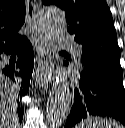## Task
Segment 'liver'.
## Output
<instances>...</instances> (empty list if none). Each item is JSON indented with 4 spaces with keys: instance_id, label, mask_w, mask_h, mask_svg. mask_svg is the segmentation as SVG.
<instances>
[{
    "instance_id": "liver-1",
    "label": "liver",
    "mask_w": 125,
    "mask_h": 128,
    "mask_svg": "<svg viewBox=\"0 0 125 128\" xmlns=\"http://www.w3.org/2000/svg\"><path fill=\"white\" fill-rule=\"evenodd\" d=\"M16 97L11 81L0 75V128H18Z\"/></svg>"
}]
</instances>
